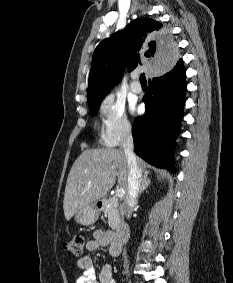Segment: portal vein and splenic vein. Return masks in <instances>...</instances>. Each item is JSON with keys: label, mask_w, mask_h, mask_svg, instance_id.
Wrapping results in <instances>:
<instances>
[{"label": "portal vein and splenic vein", "mask_w": 233, "mask_h": 283, "mask_svg": "<svg viewBox=\"0 0 233 283\" xmlns=\"http://www.w3.org/2000/svg\"><path fill=\"white\" fill-rule=\"evenodd\" d=\"M125 194L124 188H117L116 190V197H122Z\"/></svg>", "instance_id": "18ae733b"}]
</instances>
